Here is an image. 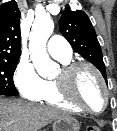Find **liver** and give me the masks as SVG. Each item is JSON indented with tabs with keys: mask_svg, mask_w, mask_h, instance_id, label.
Segmentation results:
<instances>
[{
	"mask_svg": "<svg viewBox=\"0 0 117 131\" xmlns=\"http://www.w3.org/2000/svg\"><path fill=\"white\" fill-rule=\"evenodd\" d=\"M68 114L57 108L0 98V131H39Z\"/></svg>",
	"mask_w": 117,
	"mask_h": 131,
	"instance_id": "1",
	"label": "liver"
}]
</instances>
